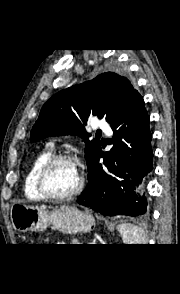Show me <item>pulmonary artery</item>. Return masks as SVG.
I'll return each mask as SVG.
<instances>
[{"label":"pulmonary artery","instance_id":"1","mask_svg":"<svg viewBox=\"0 0 180 294\" xmlns=\"http://www.w3.org/2000/svg\"><path fill=\"white\" fill-rule=\"evenodd\" d=\"M97 129L102 130L103 132H105L108 136L112 135V129L111 127L108 125L107 122L103 121V120H99L96 123L95 126Z\"/></svg>","mask_w":180,"mask_h":294}]
</instances>
